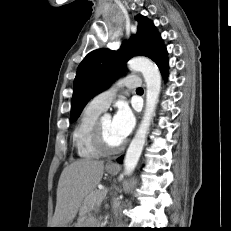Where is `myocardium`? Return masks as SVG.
<instances>
[{"label": "myocardium", "instance_id": "obj_1", "mask_svg": "<svg viewBox=\"0 0 231 231\" xmlns=\"http://www.w3.org/2000/svg\"><path fill=\"white\" fill-rule=\"evenodd\" d=\"M92 140L97 150L102 154H114L121 151L124 147V142L114 147L107 145L102 129V119H98L95 123Z\"/></svg>", "mask_w": 231, "mask_h": 231}]
</instances>
